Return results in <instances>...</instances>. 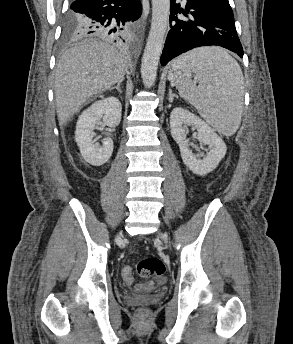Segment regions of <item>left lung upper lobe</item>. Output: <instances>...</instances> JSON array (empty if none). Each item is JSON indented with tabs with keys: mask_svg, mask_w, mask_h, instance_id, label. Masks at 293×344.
<instances>
[{
	"mask_svg": "<svg viewBox=\"0 0 293 344\" xmlns=\"http://www.w3.org/2000/svg\"><path fill=\"white\" fill-rule=\"evenodd\" d=\"M217 1H219L225 8L232 11L228 0H217Z\"/></svg>",
	"mask_w": 293,
	"mask_h": 344,
	"instance_id": "left-lung-upper-lobe-1",
	"label": "left lung upper lobe"
}]
</instances>
